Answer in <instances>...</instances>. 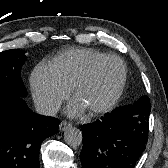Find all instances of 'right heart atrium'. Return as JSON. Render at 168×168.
<instances>
[{
    "instance_id": "right-heart-atrium-1",
    "label": "right heart atrium",
    "mask_w": 168,
    "mask_h": 168,
    "mask_svg": "<svg viewBox=\"0 0 168 168\" xmlns=\"http://www.w3.org/2000/svg\"><path fill=\"white\" fill-rule=\"evenodd\" d=\"M31 90L35 105L43 114L54 113L71 92L52 65L47 63H40L34 68Z\"/></svg>"
}]
</instances>
